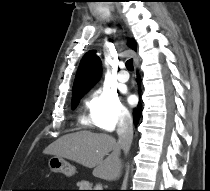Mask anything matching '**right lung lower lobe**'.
I'll return each mask as SVG.
<instances>
[{"label":"right lung lower lobe","instance_id":"right-lung-lower-lobe-1","mask_svg":"<svg viewBox=\"0 0 210 191\" xmlns=\"http://www.w3.org/2000/svg\"><path fill=\"white\" fill-rule=\"evenodd\" d=\"M140 82V79H137ZM141 114V104L139 103L137 108L134 109L133 116H134V124L137 125L139 121V115Z\"/></svg>","mask_w":210,"mask_h":191}]
</instances>
